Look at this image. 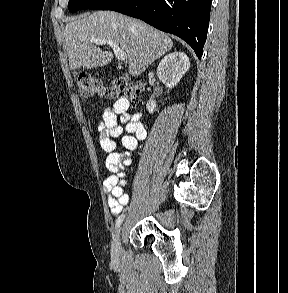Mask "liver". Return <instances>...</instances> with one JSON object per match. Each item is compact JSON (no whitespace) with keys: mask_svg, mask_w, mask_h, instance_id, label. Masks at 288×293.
<instances>
[{"mask_svg":"<svg viewBox=\"0 0 288 293\" xmlns=\"http://www.w3.org/2000/svg\"><path fill=\"white\" fill-rule=\"evenodd\" d=\"M64 37V48L74 77L81 67H103L113 59L111 51L95 46L90 38L117 43L126 53L128 71L133 76L143 73L173 47L172 40L165 33L141 20L113 11H97L73 18L65 27Z\"/></svg>","mask_w":288,"mask_h":293,"instance_id":"liver-1","label":"liver"}]
</instances>
